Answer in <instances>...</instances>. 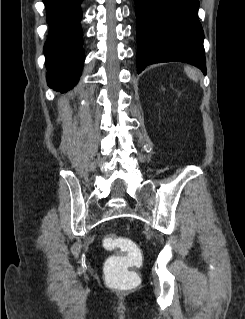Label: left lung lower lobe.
<instances>
[{"label": "left lung lower lobe", "instance_id": "obj_1", "mask_svg": "<svg viewBox=\"0 0 245 319\" xmlns=\"http://www.w3.org/2000/svg\"><path fill=\"white\" fill-rule=\"evenodd\" d=\"M137 71L150 64L181 61L206 74L199 0H134Z\"/></svg>", "mask_w": 245, "mask_h": 319}]
</instances>
